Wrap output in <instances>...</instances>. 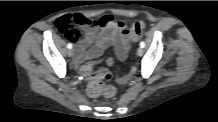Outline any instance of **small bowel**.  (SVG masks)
<instances>
[{
  "instance_id": "1",
  "label": "small bowel",
  "mask_w": 218,
  "mask_h": 122,
  "mask_svg": "<svg viewBox=\"0 0 218 122\" xmlns=\"http://www.w3.org/2000/svg\"><path fill=\"white\" fill-rule=\"evenodd\" d=\"M74 26L83 30V38L72 40L76 45V62L74 72L82 66L83 62H93L100 57L103 63L104 51L113 47L117 58L121 61L128 56L129 30L123 21H116L109 15L91 20L81 14L70 17ZM90 47V48H89ZM108 68V67H107ZM90 71H88L89 73Z\"/></svg>"
}]
</instances>
